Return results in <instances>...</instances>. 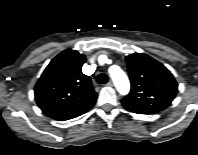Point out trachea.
Wrapping results in <instances>:
<instances>
[{"label":"trachea","instance_id":"3493384b","mask_svg":"<svg viewBox=\"0 0 198 155\" xmlns=\"http://www.w3.org/2000/svg\"><path fill=\"white\" fill-rule=\"evenodd\" d=\"M97 81L99 84H105L108 82V77L106 74L101 73L98 75Z\"/></svg>","mask_w":198,"mask_h":155}]
</instances>
